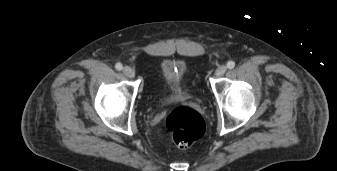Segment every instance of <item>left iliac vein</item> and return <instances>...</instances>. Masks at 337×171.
Wrapping results in <instances>:
<instances>
[{"instance_id": "4c4485c4", "label": "left iliac vein", "mask_w": 337, "mask_h": 171, "mask_svg": "<svg viewBox=\"0 0 337 171\" xmlns=\"http://www.w3.org/2000/svg\"><path fill=\"white\" fill-rule=\"evenodd\" d=\"M226 71H227V67L225 65H221L216 69L215 75L218 77L222 76L225 74Z\"/></svg>"}]
</instances>
